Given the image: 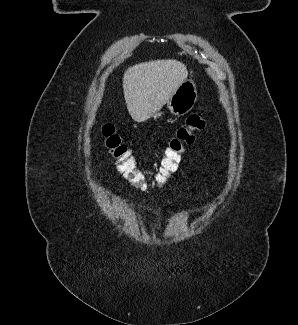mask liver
I'll return each instance as SVG.
<instances>
[{
	"label": "liver",
	"instance_id": "6515ba94",
	"mask_svg": "<svg viewBox=\"0 0 298 325\" xmlns=\"http://www.w3.org/2000/svg\"><path fill=\"white\" fill-rule=\"evenodd\" d=\"M188 74L185 62L177 58H157L128 66L122 86L133 120L145 122L154 112L161 110Z\"/></svg>",
	"mask_w": 298,
	"mask_h": 325
}]
</instances>
